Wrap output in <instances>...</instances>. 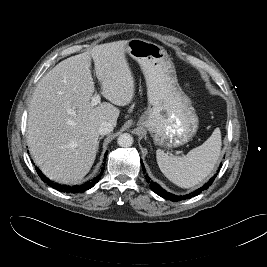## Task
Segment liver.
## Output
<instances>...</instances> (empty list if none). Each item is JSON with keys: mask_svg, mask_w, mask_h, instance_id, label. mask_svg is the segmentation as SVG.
<instances>
[{"mask_svg": "<svg viewBox=\"0 0 267 267\" xmlns=\"http://www.w3.org/2000/svg\"><path fill=\"white\" fill-rule=\"evenodd\" d=\"M126 46L127 41L97 45L61 61L38 82L28 107L27 142L34 162L49 179L80 181L96 158L100 124L115 126L120 111L114 105L132 101L135 83ZM92 60L101 94L111 102L97 107L90 102L95 91Z\"/></svg>", "mask_w": 267, "mask_h": 267, "instance_id": "liver-1", "label": "liver"}]
</instances>
